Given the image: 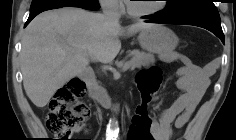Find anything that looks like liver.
Instances as JSON below:
<instances>
[{
  "label": "liver",
  "instance_id": "6515ba94",
  "mask_svg": "<svg viewBox=\"0 0 236 140\" xmlns=\"http://www.w3.org/2000/svg\"><path fill=\"white\" fill-rule=\"evenodd\" d=\"M153 24L137 22L126 31L101 13L65 7L45 11L26 27L20 53L23 86L37 107L89 65L88 55L110 63L121 49L119 36L134 35Z\"/></svg>",
  "mask_w": 236,
  "mask_h": 140
}]
</instances>
